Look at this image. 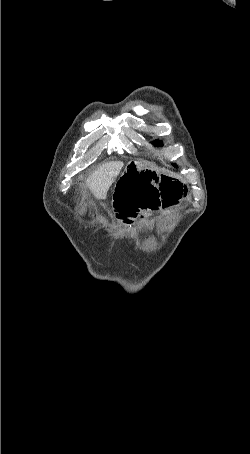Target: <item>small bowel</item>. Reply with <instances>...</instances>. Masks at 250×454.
Wrapping results in <instances>:
<instances>
[{
	"label": "small bowel",
	"instance_id": "1",
	"mask_svg": "<svg viewBox=\"0 0 250 454\" xmlns=\"http://www.w3.org/2000/svg\"><path fill=\"white\" fill-rule=\"evenodd\" d=\"M186 187L169 176L149 171H127L116 182L113 206L119 217L131 222L139 215L177 205Z\"/></svg>",
	"mask_w": 250,
	"mask_h": 454
}]
</instances>
